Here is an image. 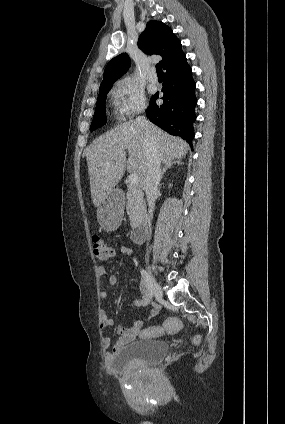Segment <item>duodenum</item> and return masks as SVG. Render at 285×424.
Segmentation results:
<instances>
[{
	"mask_svg": "<svg viewBox=\"0 0 285 424\" xmlns=\"http://www.w3.org/2000/svg\"><path fill=\"white\" fill-rule=\"evenodd\" d=\"M148 226L141 224L137 226L132 232V240L135 244H142L147 236Z\"/></svg>",
	"mask_w": 285,
	"mask_h": 424,
	"instance_id": "1",
	"label": "duodenum"
}]
</instances>
